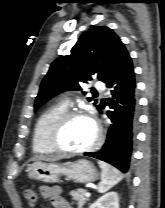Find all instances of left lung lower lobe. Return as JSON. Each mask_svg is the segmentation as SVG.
Masks as SVG:
<instances>
[{
  "instance_id": "0a47b994",
  "label": "left lung lower lobe",
  "mask_w": 165,
  "mask_h": 208,
  "mask_svg": "<svg viewBox=\"0 0 165 208\" xmlns=\"http://www.w3.org/2000/svg\"><path fill=\"white\" fill-rule=\"evenodd\" d=\"M105 83L110 88L107 105L113 111H108L107 115L112 124L102 148L94 153H85V155L105 161L123 173H127L130 170L138 126L135 75L129 55ZM98 110L101 111V106Z\"/></svg>"
}]
</instances>
